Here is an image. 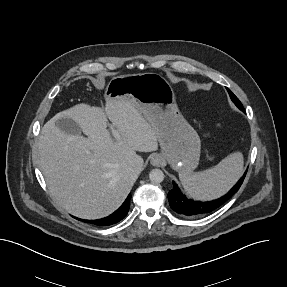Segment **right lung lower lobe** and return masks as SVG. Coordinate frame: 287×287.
Listing matches in <instances>:
<instances>
[{
    "mask_svg": "<svg viewBox=\"0 0 287 287\" xmlns=\"http://www.w3.org/2000/svg\"><path fill=\"white\" fill-rule=\"evenodd\" d=\"M131 194L128 195L125 202L117 209L113 214L108 217L98 219V220H82L84 222H89L97 226H109L121 221L128 213L130 208Z\"/></svg>",
    "mask_w": 287,
    "mask_h": 287,
    "instance_id": "98d812e1",
    "label": "right lung lower lobe"
}]
</instances>
